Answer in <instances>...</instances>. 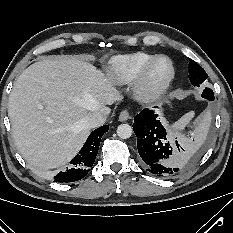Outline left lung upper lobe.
I'll list each match as a JSON object with an SVG mask.
<instances>
[{
    "mask_svg": "<svg viewBox=\"0 0 233 233\" xmlns=\"http://www.w3.org/2000/svg\"><path fill=\"white\" fill-rule=\"evenodd\" d=\"M207 78H208V75L203 70V68H201L200 65L194 62L192 59H190L189 80L191 81L192 85L199 87L203 82H205ZM212 100H214V95H213Z\"/></svg>",
    "mask_w": 233,
    "mask_h": 233,
    "instance_id": "5c2ea615",
    "label": "left lung upper lobe"
}]
</instances>
